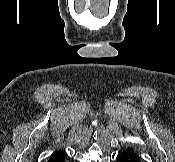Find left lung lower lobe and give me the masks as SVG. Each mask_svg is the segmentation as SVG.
I'll return each instance as SVG.
<instances>
[{"mask_svg":"<svg viewBox=\"0 0 175 162\" xmlns=\"http://www.w3.org/2000/svg\"><path fill=\"white\" fill-rule=\"evenodd\" d=\"M117 162H139V157L132 149H128L117 156Z\"/></svg>","mask_w":175,"mask_h":162,"instance_id":"1","label":"left lung lower lobe"}]
</instances>
